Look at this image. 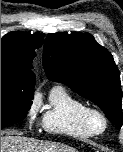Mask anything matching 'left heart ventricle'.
<instances>
[{
	"instance_id": "left-heart-ventricle-1",
	"label": "left heart ventricle",
	"mask_w": 123,
	"mask_h": 152,
	"mask_svg": "<svg viewBox=\"0 0 123 152\" xmlns=\"http://www.w3.org/2000/svg\"><path fill=\"white\" fill-rule=\"evenodd\" d=\"M91 122H92L93 127H94L96 130H101V129H102L103 123H102V121H101L100 118H98V117H93Z\"/></svg>"
}]
</instances>
